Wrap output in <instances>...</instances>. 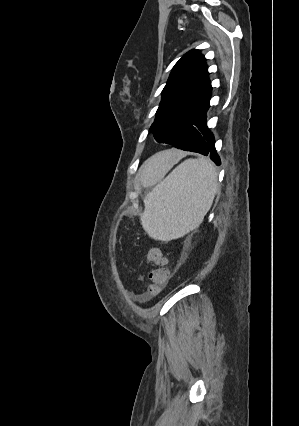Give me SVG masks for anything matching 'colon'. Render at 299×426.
<instances>
[{
	"label": "colon",
	"mask_w": 299,
	"mask_h": 426,
	"mask_svg": "<svg viewBox=\"0 0 299 426\" xmlns=\"http://www.w3.org/2000/svg\"><path fill=\"white\" fill-rule=\"evenodd\" d=\"M148 262L156 265L149 273L148 281L144 286V296L147 299L156 297L167 284L170 271L166 266L165 258L161 249L152 248L147 253Z\"/></svg>",
	"instance_id": "obj_1"
}]
</instances>
